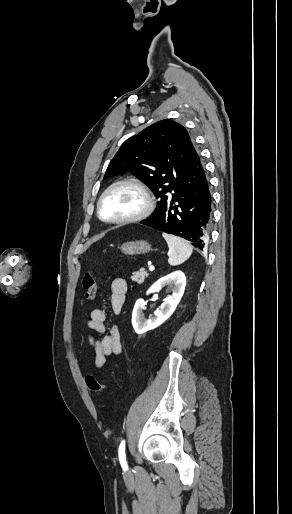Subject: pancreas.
I'll list each match as a JSON object with an SVG mask.
<instances>
[{
    "label": "pancreas",
    "instance_id": "cf45deb5",
    "mask_svg": "<svg viewBox=\"0 0 292 514\" xmlns=\"http://www.w3.org/2000/svg\"><path fill=\"white\" fill-rule=\"evenodd\" d=\"M147 276H149V274H147V272H145V268H141V270H139V272H133V276H131V280H133V282H137V284H143L145 278H147Z\"/></svg>",
    "mask_w": 292,
    "mask_h": 514
}]
</instances>
